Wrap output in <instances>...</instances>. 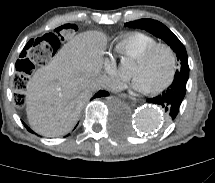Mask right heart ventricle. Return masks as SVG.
I'll list each match as a JSON object with an SVG mask.
<instances>
[{
  "label": "right heart ventricle",
  "instance_id": "obj_1",
  "mask_svg": "<svg viewBox=\"0 0 215 183\" xmlns=\"http://www.w3.org/2000/svg\"><path fill=\"white\" fill-rule=\"evenodd\" d=\"M158 43V39L148 33L132 31L119 39L116 44V51L123 57L135 58L141 52Z\"/></svg>",
  "mask_w": 215,
  "mask_h": 183
}]
</instances>
